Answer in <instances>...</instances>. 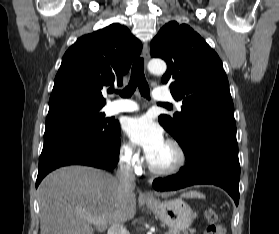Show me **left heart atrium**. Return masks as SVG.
<instances>
[{"mask_svg": "<svg viewBox=\"0 0 279 234\" xmlns=\"http://www.w3.org/2000/svg\"><path fill=\"white\" fill-rule=\"evenodd\" d=\"M125 132L133 143L144 149L148 160L166 144L162 128L148 116L129 119Z\"/></svg>", "mask_w": 279, "mask_h": 234, "instance_id": "left-heart-atrium-1", "label": "left heart atrium"}]
</instances>
